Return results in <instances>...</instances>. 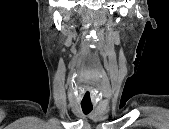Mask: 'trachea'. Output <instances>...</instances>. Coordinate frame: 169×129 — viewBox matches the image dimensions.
Returning a JSON list of instances; mask_svg holds the SVG:
<instances>
[{"instance_id":"1","label":"trachea","mask_w":169,"mask_h":129,"mask_svg":"<svg viewBox=\"0 0 169 129\" xmlns=\"http://www.w3.org/2000/svg\"><path fill=\"white\" fill-rule=\"evenodd\" d=\"M93 107L92 106H85L82 105V111L84 114H89L92 111Z\"/></svg>"}]
</instances>
